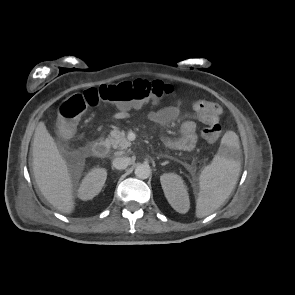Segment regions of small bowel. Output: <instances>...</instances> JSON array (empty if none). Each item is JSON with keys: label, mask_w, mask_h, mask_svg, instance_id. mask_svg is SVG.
<instances>
[{"label": "small bowel", "mask_w": 295, "mask_h": 295, "mask_svg": "<svg viewBox=\"0 0 295 295\" xmlns=\"http://www.w3.org/2000/svg\"><path fill=\"white\" fill-rule=\"evenodd\" d=\"M181 102L163 107L157 111L149 112L147 118L157 124H166L174 121L180 113ZM192 109L196 114L197 119L204 124L218 122L223 114V109L215 102L207 100H196L192 103ZM132 116L131 109L119 108L113 114V118L117 120L127 119ZM197 141L196 124L192 121L185 122L181 127L180 137L177 139L165 138V144L177 150L190 151L194 148Z\"/></svg>", "instance_id": "small-bowel-1"}]
</instances>
